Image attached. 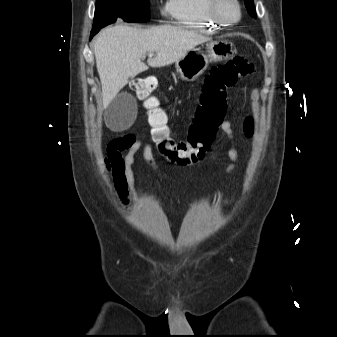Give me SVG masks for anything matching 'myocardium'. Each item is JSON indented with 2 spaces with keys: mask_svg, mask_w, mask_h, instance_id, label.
Here are the masks:
<instances>
[{
  "mask_svg": "<svg viewBox=\"0 0 337 337\" xmlns=\"http://www.w3.org/2000/svg\"><path fill=\"white\" fill-rule=\"evenodd\" d=\"M231 3L237 11L235 18H229L224 12V5ZM210 12L212 17L227 26L237 24L242 18V6L239 0H210Z\"/></svg>",
  "mask_w": 337,
  "mask_h": 337,
  "instance_id": "obj_1",
  "label": "myocardium"
}]
</instances>
